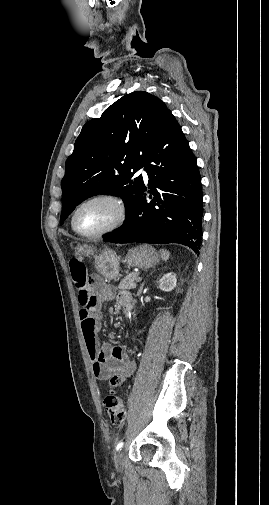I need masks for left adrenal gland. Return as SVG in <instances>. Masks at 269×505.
<instances>
[{"label": "left adrenal gland", "instance_id": "left-adrenal-gland-1", "mask_svg": "<svg viewBox=\"0 0 269 505\" xmlns=\"http://www.w3.org/2000/svg\"><path fill=\"white\" fill-rule=\"evenodd\" d=\"M143 287H144V282L141 284L139 290H138V293L137 295L141 294L142 290H143Z\"/></svg>", "mask_w": 269, "mask_h": 505}]
</instances>
